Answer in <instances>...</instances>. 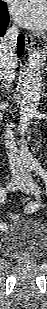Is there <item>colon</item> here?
<instances>
[{"mask_svg":"<svg viewBox=\"0 0 47 309\" xmlns=\"http://www.w3.org/2000/svg\"><path fill=\"white\" fill-rule=\"evenodd\" d=\"M10 218L15 221V220L19 219L20 216L18 214L12 213V214H10Z\"/></svg>","mask_w":47,"mask_h":309,"instance_id":"5ec220e1","label":"colon"}]
</instances>
